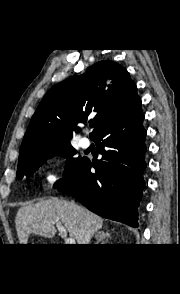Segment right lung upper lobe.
Returning <instances> with one entry per match:
<instances>
[{
    "label": "right lung upper lobe",
    "instance_id": "right-lung-upper-lobe-1",
    "mask_svg": "<svg viewBox=\"0 0 180 294\" xmlns=\"http://www.w3.org/2000/svg\"><path fill=\"white\" fill-rule=\"evenodd\" d=\"M137 99V87L122 66L111 61L93 64L85 74L69 78L47 92L30 121L19 162L39 150L70 143L76 125L97 112L90 134L94 138Z\"/></svg>",
    "mask_w": 180,
    "mask_h": 294
}]
</instances>
